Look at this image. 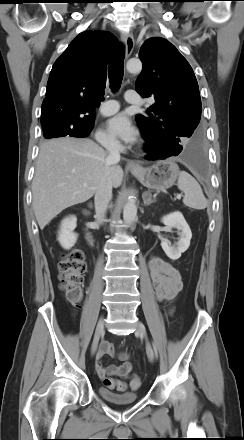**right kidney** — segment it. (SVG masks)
Returning a JSON list of instances; mask_svg holds the SVG:
<instances>
[{"instance_id":"ca27d5eb","label":"right kidney","mask_w":244,"mask_h":440,"mask_svg":"<svg viewBox=\"0 0 244 440\" xmlns=\"http://www.w3.org/2000/svg\"><path fill=\"white\" fill-rule=\"evenodd\" d=\"M76 226L77 218L75 216L67 217L61 222L58 241L66 250H69L77 241L78 235L74 232Z\"/></svg>"}]
</instances>
